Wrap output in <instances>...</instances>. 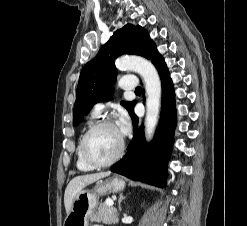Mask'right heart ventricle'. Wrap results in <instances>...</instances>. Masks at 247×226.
<instances>
[{
  "label": "right heart ventricle",
  "mask_w": 247,
  "mask_h": 226,
  "mask_svg": "<svg viewBox=\"0 0 247 226\" xmlns=\"http://www.w3.org/2000/svg\"><path fill=\"white\" fill-rule=\"evenodd\" d=\"M97 117L96 114H94L90 120L86 123L85 128L82 132V135L79 139V143H78V147H77V159H76V165L77 168L81 171H90L93 169V167L89 166L88 164L85 163V161L83 160L82 156H81V151H80V143H81V139L84 135V133L94 124V119Z\"/></svg>",
  "instance_id": "obj_1"
}]
</instances>
